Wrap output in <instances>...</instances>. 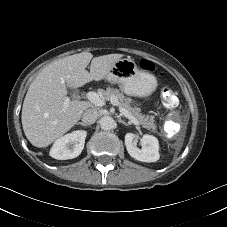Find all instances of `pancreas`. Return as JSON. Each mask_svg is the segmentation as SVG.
Segmentation results:
<instances>
[{
    "label": "pancreas",
    "mask_w": 227,
    "mask_h": 227,
    "mask_svg": "<svg viewBox=\"0 0 227 227\" xmlns=\"http://www.w3.org/2000/svg\"><path fill=\"white\" fill-rule=\"evenodd\" d=\"M101 94L106 100H109L111 96H115L118 99L120 106L126 109L129 114L134 116L144 128L153 132L156 131L157 126L154 121V116L142 115L140 109L138 107H133L118 89L107 88L105 91H102Z\"/></svg>",
    "instance_id": "cf45deb5"
}]
</instances>
